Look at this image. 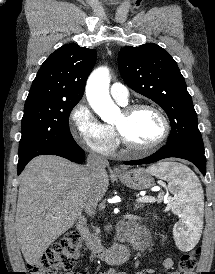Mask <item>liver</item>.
I'll list each match as a JSON object with an SVG mask.
<instances>
[{
    "instance_id": "6515ba94",
    "label": "liver",
    "mask_w": 215,
    "mask_h": 274,
    "mask_svg": "<svg viewBox=\"0 0 215 274\" xmlns=\"http://www.w3.org/2000/svg\"><path fill=\"white\" fill-rule=\"evenodd\" d=\"M108 185L104 171L96 184L99 200ZM91 190L85 166L52 155L38 156L27 164L21 174L15 232L29 265H36L45 250L74 225Z\"/></svg>"
}]
</instances>
